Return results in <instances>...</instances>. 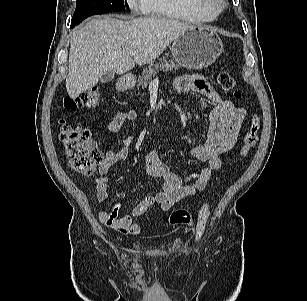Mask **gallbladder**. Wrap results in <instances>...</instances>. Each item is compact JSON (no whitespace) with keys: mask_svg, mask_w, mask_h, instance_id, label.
I'll use <instances>...</instances> for the list:
<instances>
[{"mask_svg":"<svg viewBox=\"0 0 307 301\" xmlns=\"http://www.w3.org/2000/svg\"><path fill=\"white\" fill-rule=\"evenodd\" d=\"M113 78H114V72H107L100 78V81L102 83H109L113 80Z\"/></svg>","mask_w":307,"mask_h":301,"instance_id":"bac80fb5","label":"gallbladder"}]
</instances>
